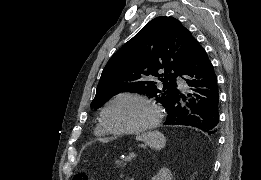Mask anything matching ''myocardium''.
Returning a JSON list of instances; mask_svg holds the SVG:
<instances>
[{"label": "myocardium", "instance_id": "f54148a6", "mask_svg": "<svg viewBox=\"0 0 261 180\" xmlns=\"http://www.w3.org/2000/svg\"><path fill=\"white\" fill-rule=\"evenodd\" d=\"M126 97H132L137 98L139 100H142L143 102L147 103L150 106V117L146 123V125L141 129L137 131H128V132H119L114 130L107 119V112L109 108L119 99L126 98ZM101 119L103 126L105 129L113 136L123 139H134V138H142L145 136L150 135L154 130L156 129V126L160 119V109L157 101L151 97L150 95L146 94L142 91H123L120 92L113 97H111L103 106L101 111Z\"/></svg>", "mask_w": 261, "mask_h": 180}]
</instances>
